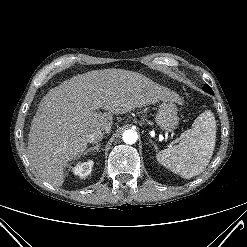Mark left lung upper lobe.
I'll return each instance as SVG.
<instances>
[{
  "label": "left lung upper lobe",
  "instance_id": "1",
  "mask_svg": "<svg viewBox=\"0 0 247 247\" xmlns=\"http://www.w3.org/2000/svg\"><path fill=\"white\" fill-rule=\"evenodd\" d=\"M203 90L210 93V94H213L211 87L207 84L203 87Z\"/></svg>",
  "mask_w": 247,
  "mask_h": 247
}]
</instances>
